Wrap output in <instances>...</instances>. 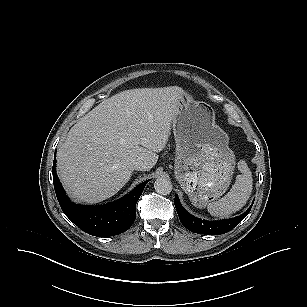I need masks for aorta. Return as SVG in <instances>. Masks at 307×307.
<instances>
[{
  "mask_svg": "<svg viewBox=\"0 0 307 307\" xmlns=\"http://www.w3.org/2000/svg\"><path fill=\"white\" fill-rule=\"evenodd\" d=\"M155 191L160 195H168L172 191V183L170 179L158 177L154 183Z\"/></svg>",
  "mask_w": 307,
  "mask_h": 307,
  "instance_id": "obj_1",
  "label": "aorta"
}]
</instances>
